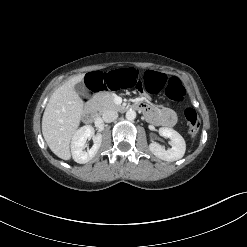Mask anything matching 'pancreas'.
Wrapping results in <instances>:
<instances>
[{"label": "pancreas", "mask_w": 247, "mask_h": 247, "mask_svg": "<svg viewBox=\"0 0 247 247\" xmlns=\"http://www.w3.org/2000/svg\"><path fill=\"white\" fill-rule=\"evenodd\" d=\"M114 97L108 93H100L96 96V104L99 111H104L106 109H121L119 105L114 103Z\"/></svg>", "instance_id": "cf45deb5"}]
</instances>
